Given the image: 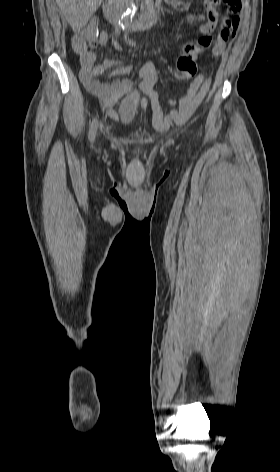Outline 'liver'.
<instances>
[{"label":"liver","instance_id":"1","mask_svg":"<svg viewBox=\"0 0 280 472\" xmlns=\"http://www.w3.org/2000/svg\"><path fill=\"white\" fill-rule=\"evenodd\" d=\"M71 28L79 32L97 11L102 0H56Z\"/></svg>","mask_w":280,"mask_h":472}]
</instances>
